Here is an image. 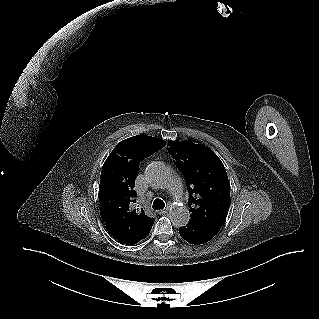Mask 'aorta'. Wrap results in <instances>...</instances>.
<instances>
[{
  "instance_id": "obj_1",
  "label": "aorta",
  "mask_w": 319,
  "mask_h": 319,
  "mask_svg": "<svg viewBox=\"0 0 319 319\" xmlns=\"http://www.w3.org/2000/svg\"><path fill=\"white\" fill-rule=\"evenodd\" d=\"M147 180L155 186L165 187L170 182V171L162 162H153L145 171ZM169 218L175 226H185L189 221V210L182 205H174L169 211Z\"/></svg>"
}]
</instances>
